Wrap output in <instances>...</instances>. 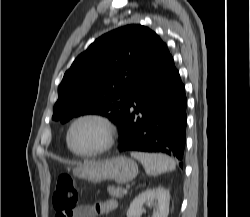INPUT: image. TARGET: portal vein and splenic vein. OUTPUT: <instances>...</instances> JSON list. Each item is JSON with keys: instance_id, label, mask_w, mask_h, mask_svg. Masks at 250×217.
<instances>
[{"instance_id": "obj_1", "label": "portal vein and splenic vein", "mask_w": 250, "mask_h": 217, "mask_svg": "<svg viewBox=\"0 0 250 217\" xmlns=\"http://www.w3.org/2000/svg\"><path fill=\"white\" fill-rule=\"evenodd\" d=\"M125 194L127 193V189H124V191H123Z\"/></svg>"}]
</instances>
